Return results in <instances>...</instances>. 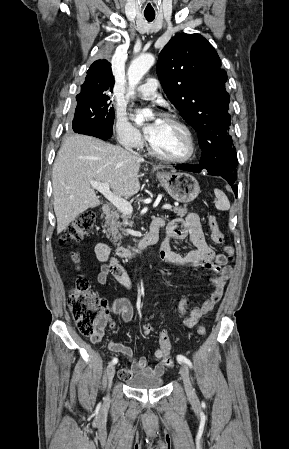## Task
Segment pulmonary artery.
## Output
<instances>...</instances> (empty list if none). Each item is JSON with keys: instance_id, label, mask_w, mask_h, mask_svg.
<instances>
[{"instance_id": "e3ab8cb5", "label": "pulmonary artery", "mask_w": 289, "mask_h": 449, "mask_svg": "<svg viewBox=\"0 0 289 449\" xmlns=\"http://www.w3.org/2000/svg\"><path fill=\"white\" fill-rule=\"evenodd\" d=\"M159 82L156 78H149L147 81L137 88V94L143 99H154L157 95Z\"/></svg>"}]
</instances>
